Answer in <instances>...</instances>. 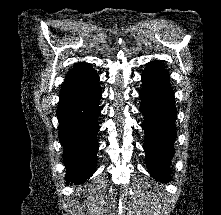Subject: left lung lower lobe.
<instances>
[{
	"label": "left lung lower lobe",
	"mask_w": 221,
	"mask_h": 215,
	"mask_svg": "<svg viewBox=\"0 0 221 215\" xmlns=\"http://www.w3.org/2000/svg\"><path fill=\"white\" fill-rule=\"evenodd\" d=\"M140 112L145 120L144 151L149 170L160 182H169V163L174 155L177 110L169 74L160 61H150L141 76Z\"/></svg>",
	"instance_id": "left-lung-lower-lobe-1"
}]
</instances>
